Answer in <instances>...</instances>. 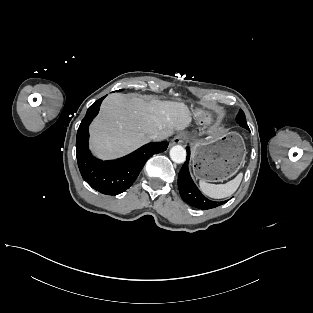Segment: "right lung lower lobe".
<instances>
[{
  "label": "right lung lower lobe",
  "mask_w": 313,
  "mask_h": 313,
  "mask_svg": "<svg viewBox=\"0 0 313 313\" xmlns=\"http://www.w3.org/2000/svg\"><path fill=\"white\" fill-rule=\"evenodd\" d=\"M104 98L102 97L92 104L81 121L76 140L77 162L83 179L92 188L106 195H117L133 184L152 155L167 149L168 142L148 143L117 160L102 161L93 157L88 148V127L98 114Z\"/></svg>",
  "instance_id": "98d812e1"
}]
</instances>
